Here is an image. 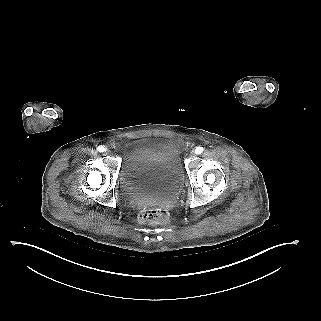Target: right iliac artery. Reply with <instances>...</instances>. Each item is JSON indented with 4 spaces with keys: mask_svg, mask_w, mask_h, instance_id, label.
<instances>
[{
    "mask_svg": "<svg viewBox=\"0 0 321 321\" xmlns=\"http://www.w3.org/2000/svg\"><path fill=\"white\" fill-rule=\"evenodd\" d=\"M97 150L99 151V152H104L105 151V147L104 146H99L98 148H97Z\"/></svg>",
    "mask_w": 321,
    "mask_h": 321,
    "instance_id": "1",
    "label": "right iliac artery"
}]
</instances>
